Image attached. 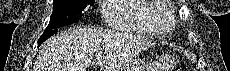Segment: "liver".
<instances>
[{
  "label": "liver",
  "mask_w": 230,
  "mask_h": 71,
  "mask_svg": "<svg viewBox=\"0 0 230 71\" xmlns=\"http://www.w3.org/2000/svg\"><path fill=\"white\" fill-rule=\"evenodd\" d=\"M153 44L128 33L76 27L50 38L40 50L34 71H87L96 54L100 71H119Z\"/></svg>",
  "instance_id": "liver-1"
}]
</instances>
